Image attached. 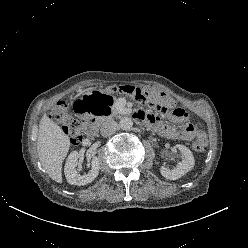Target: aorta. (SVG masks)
<instances>
[{
	"mask_svg": "<svg viewBox=\"0 0 248 248\" xmlns=\"http://www.w3.org/2000/svg\"><path fill=\"white\" fill-rule=\"evenodd\" d=\"M119 126L122 130H130L133 127V121L129 117H123L119 122Z\"/></svg>",
	"mask_w": 248,
	"mask_h": 248,
	"instance_id": "1",
	"label": "aorta"
}]
</instances>
